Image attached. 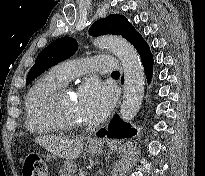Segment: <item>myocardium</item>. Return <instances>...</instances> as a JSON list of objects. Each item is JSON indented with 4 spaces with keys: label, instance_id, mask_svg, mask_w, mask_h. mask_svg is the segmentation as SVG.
<instances>
[{
    "label": "myocardium",
    "instance_id": "myocardium-1",
    "mask_svg": "<svg viewBox=\"0 0 205 176\" xmlns=\"http://www.w3.org/2000/svg\"><path fill=\"white\" fill-rule=\"evenodd\" d=\"M69 93L71 90L67 86H63L54 90L46 99L45 112L56 125L57 130H75L84 127L83 123L66 119L61 112V99Z\"/></svg>",
    "mask_w": 205,
    "mask_h": 176
}]
</instances>
